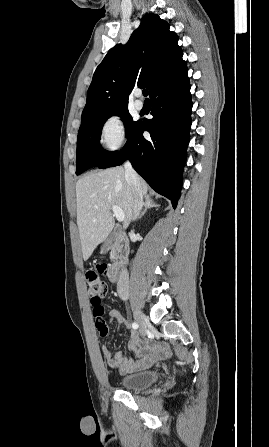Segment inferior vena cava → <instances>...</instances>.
Instances as JSON below:
<instances>
[{
  "instance_id": "602c4592",
  "label": "inferior vena cava",
  "mask_w": 269,
  "mask_h": 447,
  "mask_svg": "<svg viewBox=\"0 0 269 447\" xmlns=\"http://www.w3.org/2000/svg\"><path fill=\"white\" fill-rule=\"evenodd\" d=\"M124 168H125L126 182H129V184H131V190L133 192V198H134L132 220H136L137 216H139L144 206L142 188L140 180L135 170H133L130 162H125ZM117 291L119 295H129V273L126 267H123V269H121L119 273L117 281Z\"/></svg>"
}]
</instances>
